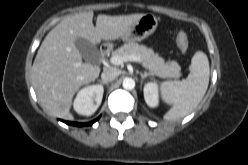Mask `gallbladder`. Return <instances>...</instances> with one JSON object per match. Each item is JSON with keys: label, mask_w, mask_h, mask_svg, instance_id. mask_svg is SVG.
Here are the masks:
<instances>
[{"label": "gallbladder", "mask_w": 248, "mask_h": 165, "mask_svg": "<svg viewBox=\"0 0 248 165\" xmlns=\"http://www.w3.org/2000/svg\"><path fill=\"white\" fill-rule=\"evenodd\" d=\"M75 44L88 63L97 64L99 62V51L90 41L84 38H78Z\"/></svg>", "instance_id": "bac80fb5"}]
</instances>
